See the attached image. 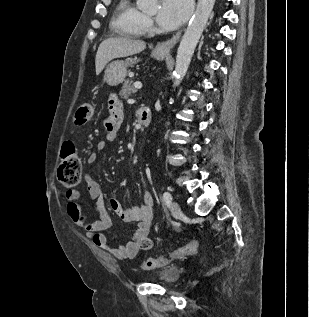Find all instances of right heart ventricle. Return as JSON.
Returning <instances> with one entry per match:
<instances>
[{
	"label": "right heart ventricle",
	"mask_w": 309,
	"mask_h": 317,
	"mask_svg": "<svg viewBox=\"0 0 309 317\" xmlns=\"http://www.w3.org/2000/svg\"><path fill=\"white\" fill-rule=\"evenodd\" d=\"M144 14L131 0H120L113 27L115 31L123 36L136 38L142 34V19Z\"/></svg>",
	"instance_id": "e07e8e85"
}]
</instances>
